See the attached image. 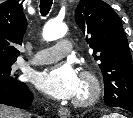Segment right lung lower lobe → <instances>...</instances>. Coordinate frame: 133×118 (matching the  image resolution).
<instances>
[{
	"label": "right lung lower lobe",
	"instance_id": "right-lung-lower-lobe-1",
	"mask_svg": "<svg viewBox=\"0 0 133 118\" xmlns=\"http://www.w3.org/2000/svg\"><path fill=\"white\" fill-rule=\"evenodd\" d=\"M34 96L25 83L15 87L0 88V104L28 108Z\"/></svg>",
	"mask_w": 133,
	"mask_h": 118
}]
</instances>
